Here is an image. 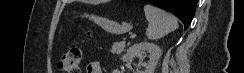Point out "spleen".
Segmentation results:
<instances>
[{"instance_id":"3e777b00","label":"spleen","mask_w":244,"mask_h":73,"mask_svg":"<svg viewBox=\"0 0 244 73\" xmlns=\"http://www.w3.org/2000/svg\"><path fill=\"white\" fill-rule=\"evenodd\" d=\"M145 17L149 22L146 36L149 40H157L178 29L176 18L166 11L151 5L144 6Z\"/></svg>"}]
</instances>
